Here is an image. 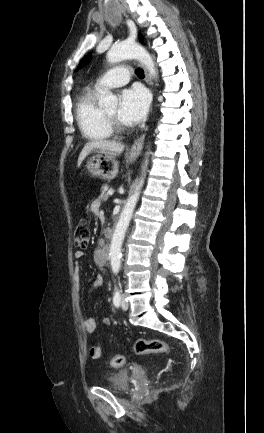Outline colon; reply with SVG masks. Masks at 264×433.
<instances>
[{"mask_svg": "<svg viewBox=\"0 0 264 433\" xmlns=\"http://www.w3.org/2000/svg\"><path fill=\"white\" fill-rule=\"evenodd\" d=\"M90 242V229L86 222L82 221L78 224L74 232V244L80 249L88 247ZM134 351L136 354H169L170 347L167 343L159 339H138L134 343ZM125 358L122 355H116L111 358L109 364L111 367L117 368L123 366Z\"/></svg>", "mask_w": 264, "mask_h": 433, "instance_id": "colon-1", "label": "colon"}]
</instances>
